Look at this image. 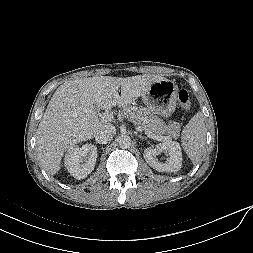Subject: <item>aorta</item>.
<instances>
[{
    "instance_id": "obj_1",
    "label": "aorta",
    "mask_w": 253,
    "mask_h": 253,
    "mask_svg": "<svg viewBox=\"0 0 253 253\" xmlns=\"http://www.w3.org/2000/svg\"><path fill=\"white\" fill-rule=\"evenodd\" d=\"M118 145L121 148H128L131 145V138H130V136L126 135V134L119 136V138H118Z\"/></svg>"
}]
</instances>
